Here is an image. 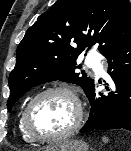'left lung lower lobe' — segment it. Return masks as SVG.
<instances>
[{"mask_svg": "<svg viewBox=\"0 0 131 151\" xmlns=\"http://www.w3.org/2000/svg\"><path fill=\"white\" fill-rule=\"evenodd\" d=\"M108 74L114 84L108 92H97L93 83L86 95L90 116L80 132L94 130L131 131V38L106 54Z\"/></svg>", "mask_w": 131, "mask_h": 151, "instance_id": "left-lung-lower-lobe-1", "label": "left lung lower lobe"}]
</instances>
